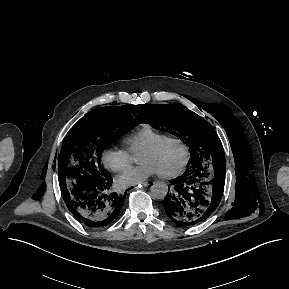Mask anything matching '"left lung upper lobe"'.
I'll return each mask as SVG.
<instances>
[{"label": "left lung upper lobe", "mask_w": 289, "mask_h": 289, "mask_svg": "<svg viewBox=\"0 0 289 289\" xmlns=\"http://www.w3.org/2000/svg\"><path fill=\"white\" fill-rule=\"evenodd\" d=\"M138 119L185 140L192 156L189 170L199 167L212 170L225 161L223 147L214 128L182 104L141 105Z\"/></svg>", "instance_id": "1"}]
</instances>
